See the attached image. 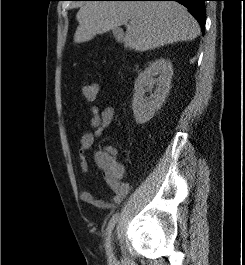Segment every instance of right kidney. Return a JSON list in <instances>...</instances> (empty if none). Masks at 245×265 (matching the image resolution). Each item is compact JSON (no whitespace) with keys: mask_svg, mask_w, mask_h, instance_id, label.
Segmentation results:
<instances>
[{"mask_svg":"<svg viewBox=\"0 0 245 265\" xmlns=\"http://www.w3.org/2000/svg\"><path fill=\"white\" fill-rule=\"evenodd\" d=\"M172 75V63L163 58L155 60L139 74L134 84L132 100L133 115L137 124L146 123L161 108L169 93ZM156 76L158 77L155 78ZM154 85V93L146 98L145 93H151Z\"/></svg>","mask_w":245,"mask_h":265,"instance_id":"1","label":"right kidney"}]
</instances>
